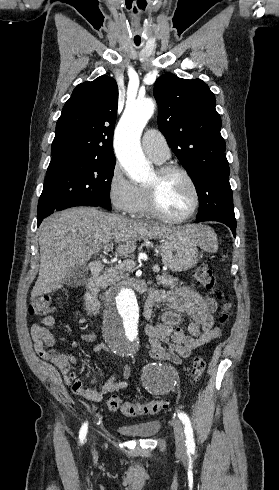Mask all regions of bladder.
Masks as SVG:
<instances>
[{"label": "bladder", "mask_w": 279, "mask_h": 490, "mask_svg": "<svg viewBox=\"0 0 279 490\" xmlns=\"http://www.w3.org/2000/svg\"><path fill=\"white\" fill-rule=\"evenodd\" d=\"M160 428L159 420L140 421L118 426V430L131 438L153 437Z\"/></svg>", "instance_id": "obj_1"}]
</instances>
